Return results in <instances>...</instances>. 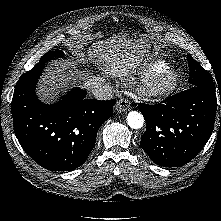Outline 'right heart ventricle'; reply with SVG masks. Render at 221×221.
<instances>
[{
  "instance_id": "obj_1",
  "label": "right heart ventricle",
  "mask_w": 221,
  "mask_h": 221,
  "mask_svg": "<svg viewBox=\"0 0 221 221\" xmlns=\"http://www.w3.org/2000/svg\"><path fill=\"white\" fill-rule=\"evenodd\" d=\"M169 68H170V66L168 63H166L164 61L157 60V61H154V62L148 64L147 71L150 73H155L158 71L167 70Z\"/></svg>"
}]
</instances>
